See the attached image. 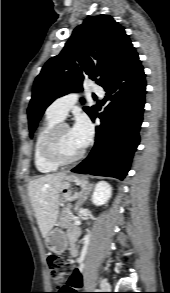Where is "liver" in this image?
<instances>
[{"instance_id":"liver-1","label":"liver","mask_w":170,"mask_h":293,"mask_svg":"<svg viewBox=\"0 0 170 293\" xmlns=\"http://www.w3.org/2000/svg\"><path fill=\"white\" fill-rule=\"evenodd\" d=\"M66 175L67 172L48 174L28 184V195L43 238L57 220L60 188Z\"/></svg>"}]
</instances>
